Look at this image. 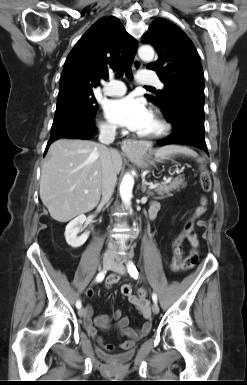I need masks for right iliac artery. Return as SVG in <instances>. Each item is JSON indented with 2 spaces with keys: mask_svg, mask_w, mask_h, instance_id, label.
Masks as SVG:
<instances>
[{
  "mask_svg": "<svg viewBox=\"0 0 247 385\" xmlns=\"http://www.w3.org/2000/svg\"><path fill=\"white\" fill-rule=\"evenodd\" d=\"M105 274H106V271L100 272V273L96 276V282H101V281H103V279H104V277H105ZM81 306H82L81 301L78 300V301L76 302V307H77L78 309H80Z\"/></svg>",
  "mask_w": 247,
  "mask_h": 385,
  "instance_id": "right-iliac-artery-1",
  "label": "right iliac artery"
}]
</instances>
